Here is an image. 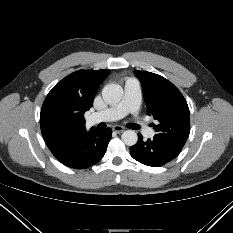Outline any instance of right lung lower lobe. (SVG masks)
Segmentation results:
<instances>
[{"mask_svg": "<svg viewBox=\"0 0 233 233\" xmlns=\"http://www.w3.org/2000/svg\"><path fill=\"white\" fill-rule=\"evenodd\" d=\"M112 137V130L92 128L73 141L53 152V155L65 166L86 169L100 161Z\"/></svg>", "mask_w": 233, "mask_h": 233, "instance_id": "98d812e1", "label": "right lung lower lobe"}]
</instances>
